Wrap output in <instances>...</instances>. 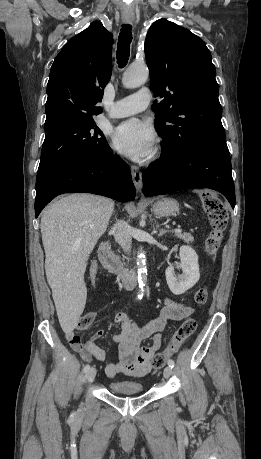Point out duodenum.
I'll return each mask as SVG.
<instances>
[{
	"label": "duodenum",
	"instance_id": "1",
	"mask_svg": "<svg viewBox=\"0 0 261 459\" xmlns=\"http://www.w3.org/2000/svg\"><path fill=\"white\" fill-rule=\"evenodd\" d=\"M99 256L108 271L119 277L126 284H134L137 281V272L125 266L121 260L113 253L108 242L103 243L99 248Z\"/></svg>",
	"mask_w": 261,
	"mask_h": 459
}]
</instances>
